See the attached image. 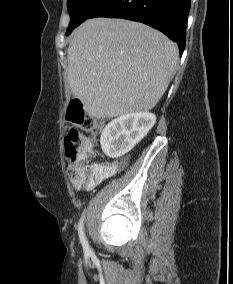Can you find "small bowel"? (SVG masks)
<instances>
[{
  "instance_id": "small-bowel-1",
  "label": "small bowel",
  "mask_w": 233,
  "mask_h": 284,
  "mask_svg": "<svg viewBox=\"0 0 233 284\" xmlns=\"http://www.w3.org/2000/svg\"><path fill=\"white\" fill-rule=\"evenodd\" d=\"M127 164L126 158L107 163H93L87 170L89 187L97 185L115 175Z\"/></svg>"
}]
</instances>
